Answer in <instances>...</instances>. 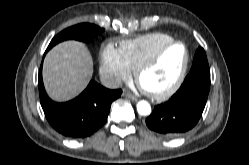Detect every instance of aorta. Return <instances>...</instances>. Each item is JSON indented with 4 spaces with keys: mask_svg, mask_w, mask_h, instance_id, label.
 <instances>
[{
    "mask_svg": "<svg viewBox=\"0 0 249 165\" xmlns=\"http://www.w3.org/2000/svg\"><path fill=\"white\" fill-rule=\"evenodd\" d=\"M136 108H137V112L140 115L146 116V115H149L151 113V106L147 101H144V100L139 101L137 103Z\"/></svg>",
    "mask_w": 249,
    "mask_h": 165,
    "instance_id": "obj_1",
    "label": "aorta"
}]
</instances>
